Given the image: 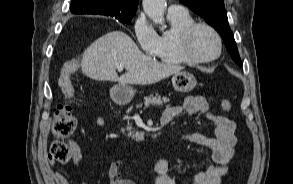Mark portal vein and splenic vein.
<instances>
[{"mask_svg": "<svg viewBox=\"0 0 293 184\" xmlns=\"http://www.w3.org/2000/svg\"><path fill=\"white\" fill-rule=\"evenodd\" d=\"M123 68H124V67H122V66H118V67H117L118 71H123Z\"/></svg>", "mask_w": 293, "mask_h": 184, "instance_id": "portal-vein-and-splenic-vein-1", "label": "portal vein and splenic vein"}]
</instances>
